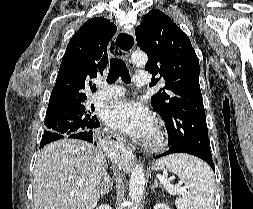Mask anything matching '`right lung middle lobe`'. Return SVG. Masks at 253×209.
<instances>
[{
    "instance_id": "1",
    "label": "right lung middle lobe",
    "mask_w": 253,
    "mask_h": 209,
    "mask_svg": "<svg viewBox=\"0 0 253 209\" xmlns=\"http://www.w3.org/2000/svg\"><path fill=\"white\" fill-rule=\"evenodd\" d=\"M94 107L79 105L73 107H62L46 113V130L40 146L52 141L71 138L70 135L89 131L93 128L97 118L93 115Z\"/></svg>"
}]
</instances>
